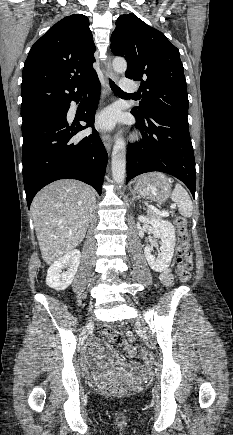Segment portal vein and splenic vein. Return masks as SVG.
<instances>
[{"instance_id": "18ae733b", "label": "portal vein and splenic vein", "mask_w": 233, "mask_h": 435, "mask_svg": "<svg viewBox=\"0 0 233 435\" xmlns=\"http://www.w3.org/2000/svg\"><path fill=\"white\" fill-rule=\"evenodd\" d=\"M148 208H150L151 210L157 212L158 214L162 215V216H168V212H160L156 207L154 206H149Z\"/></svg>"}]
</instances>
